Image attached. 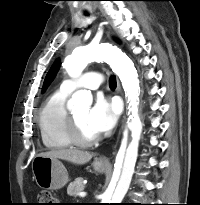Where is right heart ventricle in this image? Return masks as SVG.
I'll list each match as a JSON object with an SVG mask.
<instances>
[{
  "instance_id": "right-heart-ventricle-1",
  "label": "right heart ventricle",
  "mask_w": 200,
  "mask_h": 205,
  "mask_svg": "<svg viewBox=\"0 0 200 205\" xmlns=\"http://www.w3.org/2000/svg\"><path fill=\"white\" fill-rule=\"evenodd\" d=\"M68 95L59 89L47 98L40 109L38 125L42 143L47 149L60 150L72 145L66 130L68 112L65 102Z\"/></svg>"
}]
</instances>
